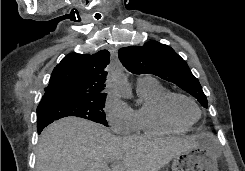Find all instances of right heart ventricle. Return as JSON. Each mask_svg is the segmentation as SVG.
I'll use <instances>...</instances> for the list:
<instances>
[{
  "label": "right heart ventricle",
  "instance_id": "obj_1",
  "mask_svg": "<svg viewBox=\"0 0 245 171\" xmlns=\"http://www.w3.org/2000/svg\"><path fill=\"white\" fill-rule=\"evenodd\" d=\"M140 105L134 111L136 131L148 135L182 133L187 127L171 122L164 114L162 103L170 91L156 79L137 83Z\"/></svg>",
  "mask_w": 245,
  "mask_h": 171
}]
</instances>
